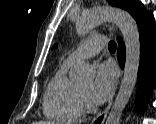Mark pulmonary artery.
I'll use <instances>...</instances> for the list:
<instances>
[{"mask_svg": "<svg viewBox=\"0 0 156 124\" xmlns=\"http://www.w3.org/2000/svg\"><path fill=\"white\" fill-rule=\"evenodd\" d=\"M106 40L104 36H94L82 42L68 57L64 60V64L72 65L78 61L88 59L97 55L105 46Z\"/></svg>", "mask_w": 156, "mask_h": 124, "instance_id": "pulmonary-artery-1", "label": "pulmonary artery"}]
</instances>
